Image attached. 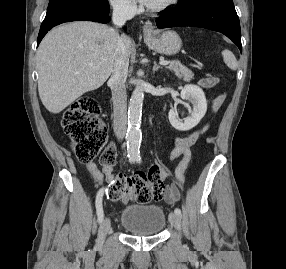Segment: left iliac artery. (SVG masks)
<instances>
[{
	"instance_id": "obj_1",
	"label": "left iliac artery",
	"mask_w": 286,
	"mask_h": 269,
	"mask_svg": "<svg viewBox=\"0 0 286 269\" xmlns=\"http://www.w3.org/2000/svg\"><path fill=\"white\" fill-rule=\"evenodd\" d=\"M136 162L140 163L141 162V157L140 156H136L135 158ZM174 212L177 214V215H180L181 214V210L179 208H175Z\"/></svg>"
}]
</instances>
